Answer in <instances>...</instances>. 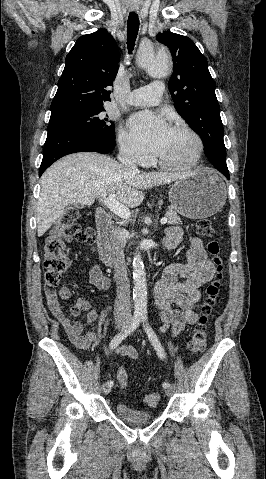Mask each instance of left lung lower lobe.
<instances>
[{"label":"left lung lower lobe","mask_w":266,"mask_h":479,"mask_svg":"<svg viewBox=\"0 0 266 479\" xmlns=\"http://www.w3.org/2000/svg\"><path fill=\"white\" fill-rule=\"evenodd\" d=\"M218 171H220L227 179H229V171L228 170L222 169V170H218Z\"/></svg>","instance_id":"left-lung-lower-lobe-1"}]
</instances>
